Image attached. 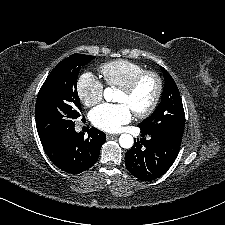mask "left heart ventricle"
Masks as SVG:
<instances>
[{"label":"left heart ventricle","instance_id":"1","mask_svg":"<svg viewBox=\"0 0 225 225\" xmlns=\"http://www.w3.org/2000/svg\"><path fill=\"white\" fill-rule=\"evenodd\" d=\"M155 90V81L151 77H146L137 85L132 93L126 94L120 90L116 101L128 106L133 113L142 111L151 103Z\"/></svg>","mask_w":225,"mask_h":225}]
</instances>
